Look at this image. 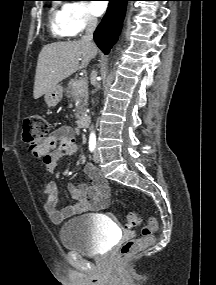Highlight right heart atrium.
<instances>
[{
	"label": "right heart atrium",
	"mask_w": 216,
	"mask_h": 285,
	"mask_svg": "<svg viewBox=\"0 0 216 285\" xmlns=\"http://www.w3.org/2000/svg\"><path fill=\"white\" fill-rule=\"evenodd\" d=\"M66 21L72 35L93 28L97 24L91 6L84 1H71L64 5Z\"/></svg>",
	"instance_id": "obj_1"
}]
</instances>
